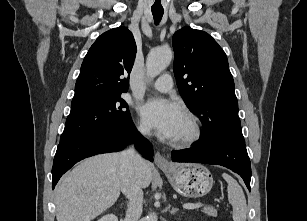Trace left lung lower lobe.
<instances>
[{"label":"left lung lower lobe","mask_w":307,"mask_h":221,"mask_svg":"<svg viewBox=\"0 0 307 221\" xmlns=\"http://www.w3.org/2000/svg\"><path fill=\"white\" fill-rule=\"evenodd\" d=\"M172 161L217 164L239 174L250 191L251 163L245 145L222 137L200 138L189 149L172 151Z\"/></svg>","instance_id":"left-lung-lower-lobe-1"}]
</instances>
